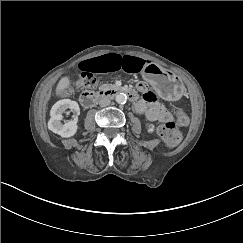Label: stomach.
<instances>
[{"label": "stomach", "mask_w": 243, "mask_h": 243, "mask_svg": "<svg viewBox=\"0 0 243 243\" xmlns=\"http://www.w3.org/2000/svg\"><path fill=\"white\" fill-rule=\"evenodd\" d=\"M142 76L166 100H178L183 95L184 86L181 80L155 63L143 66Z\"/></svg>", "instance_id": "0dacf381"}]
</instances>
